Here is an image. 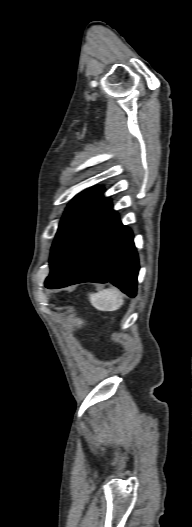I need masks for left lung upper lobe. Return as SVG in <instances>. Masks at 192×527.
<instances>
[{
    "label": "left lung upper lobe",
    "mask_w": 192,
    "mask_h": 527,
    "mask_svg": "<svg viewBox=\"0 0 192 527\" xmlns=\"http://www.w3.org/2000/svg\"><path fill=\"white\" fill-rule=\"evenodd\" d=\"M102 193L103 187L90 188L77 195L68 205L53 242L50 268L62 254L79 228L105 200Z\"/></svg>",
    "instance_id": "5c2ea615"
}]
</instances>
